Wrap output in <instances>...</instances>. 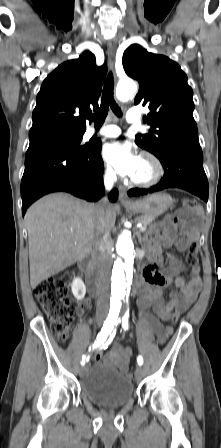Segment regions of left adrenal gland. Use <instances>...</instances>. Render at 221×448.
Wrapping results in <instances>:
<instances>
[{
  "label": "left adrenal gland",
  "mask_w": 221,
  "mask_h": 448,
  "mask_svg": "<svg viewBox=\"0 0 221 448\" xmlns=\"http://www.w3.org/2000/svg\"><path fill=\"white\" fill-rule=\"evenodd\" d=\"M138 238L141 240V234L137 233Z\"/></svg>",
  "instance_id": "1"
}]
</instances>
